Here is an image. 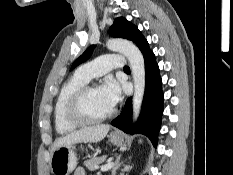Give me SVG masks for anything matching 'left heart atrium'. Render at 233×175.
<instances>
[{"label":"left heart atrium","instance_id":"39dd6f15","mask_svg":"<svg viewBox=\"0 0 233 175\" xmlns=\"http://www.w3.org/2000/svg\"><path fill=\"white\" fill-rule=\"evenodd\" d=\"M101 94L109 104L114 107L122 98V90L120 84L113 78H108L104 81L100 88Z\"/></svg>","mask_w":233,"mask_h":175}]
</instances>
